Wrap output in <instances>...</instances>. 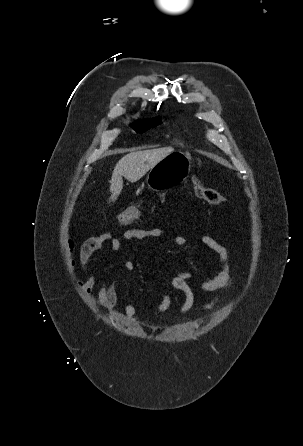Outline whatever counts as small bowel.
<instances>
[{"mask_svg":"<svg viewBox=\"0 0 303 446\" xmlns=\"http://www.w3.org/2000/svg\"><path fill=\"white\" fill-rule=\"evenodd\" d=\"M168 231L164 228H131L126 230L121 236L113 237L110 233H104L99 236L90 237L86 239L80 246L79 261L87 274V278L77 281L78 287L85 293H91L96 285L95 276L91 272L92 255L100 250L105 242H110L111 249L119 251L122 249L126 241H141L148 239H158L166 236ZM175 247L181 248L187 244V238L182 235H177L173 238ZM200 243L211 250L217 257V267L214 274L201 282L200 286L205 291H214L216 289H228L232 285V276L230 273L229 257L226 248L216 241L211 236H203ZM74 244L71 240L68 241V250L72 254ZM75 260L71 258L70 265L73 269ZM124 275L130 274L135 269V264L132 260H125L123 262ZM191 277L189 271H178L174 276L168 278L165 283V293L159 305L152 312V316L156 317L166 312L171 304V297L169 292L171 290L179 291L184 296V302L179 310V315H185L194 304V293L189 286L187 280ZM220 301V297L216 296L209 303L204 305L205 310H213ZM117 303L116 281L103 284L98 292V304L110 313H113L114 307ZM123 314L132 322L140 320L135 308V299H131L125 306Z\"/></svg>","mask_w":303,"mask_h":446,"instance_id":"obj_1","label":"small bowel"}]
</instances>
